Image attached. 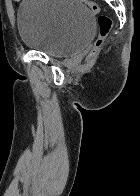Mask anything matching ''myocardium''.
I'll return each instance as SVG.
<instances>
[{
  "label": "myocardium",
  "mask_w": 140,
  "mask_h": 196,
  "mask_svg": "<svg viewBox=\"0 0 140 196\" xmlns=\"http://www.w3.org/2000/svg\"><path fill=\"white\" fill-rule=\"evenodd\" d=\"M36 192H44V191H36ZM56 192H64V191H56Z\"/></svg>",
  "instance_id": "obj_1"
}]
</instances>
